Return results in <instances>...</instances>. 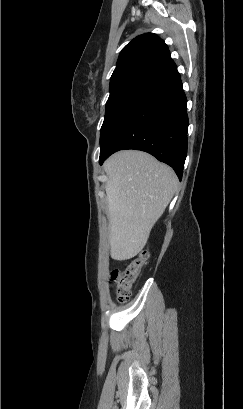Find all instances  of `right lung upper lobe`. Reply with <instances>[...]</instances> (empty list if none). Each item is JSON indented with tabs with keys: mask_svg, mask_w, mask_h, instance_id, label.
<instances>
[{
	"mask_svg": "<svg viewBox=\"0 0 243 409\" xmlns=\"http://www.w3.org/2000/svg\"><path fill=\"white\" fill-rule=\"evenodd\" d=\"M176 68L164 41L156 34H143L122 49L110 85L134 77L163 80Z\"/></svg>",
	"mask_w": 243,
	"mask_h": 409,
	"instance_id": "cb5924a9",
	"label": "right lung upper lobe"
}]
</instances>
